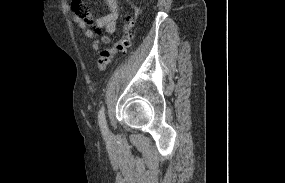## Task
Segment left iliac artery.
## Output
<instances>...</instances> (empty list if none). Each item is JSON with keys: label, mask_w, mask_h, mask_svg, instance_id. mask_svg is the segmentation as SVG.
I'll use <instances>...</instances> for the list:
<instances>
[{"label": "left iliac artery", "mask_w": 285, "mask_h": 183, "mask_svg": "<svg viewBox=\"0 0 285 183\" xmlns=\"http://www.w3.org/2000/svg\"><path fill=\"white\" fill-rule=\"evenodd\" d=\"M98 122L102 132L106 133L108 131L107 122L105 117V108L102 106L98 113Z\"/></svg>", "instance_id": "1"}]
</instances>
